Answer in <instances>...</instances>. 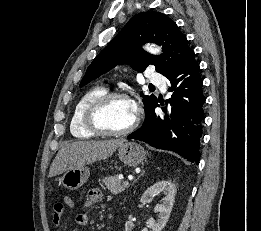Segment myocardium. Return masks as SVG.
I'll return each mask as SVG.
<instances>
[{"mask_svg":"<svg viewBox=\"0 0 261 231\" xmlns=\"http://www.w3.org/2000/svg\"><path fill=\"white\" fill-rule=\"evenodd\" d=\"M127 99L131 102H133L130 98V96L124 92L121 91H113V92H107L106 94L99 97L97 100H95L93 103L89 105V107L86 110L85 113V124L86 127L93 133L98 135H104V136H125L133 132L140 122V113L136 109L135 110V117L133 122L129 127H127L124 130L120 131H114L110 130L106 127H104L100 120L99 116L102 112V110L113 100L115 99Z\"/></svg>","mask_w":261,"mask_h":231,"instance_id":"f54148a6","label":"myocardium"}]
</instances>
